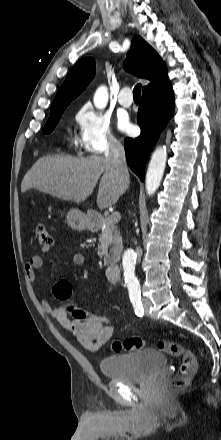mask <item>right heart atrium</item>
Wrapping results in <instances>:
<instances>
[{
	"label": "right heart atrium",
	"mask_w": 221,
	"mask_h": 440,
	"mask_svg": "<svg viewBox=\"0 0 221 440\" xmlns=\"http://www.w3.org/2000/svg\"><path fill=\"white\" fill-rule=\"evenodd\" d=\"M75 120L77 144L84 153H108L119 146L109 118L93 107L82 106L76 113Z\"/></svg>",
	"instance_id": "obj_1"
}]
</instances>
